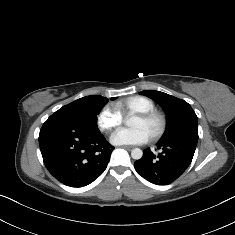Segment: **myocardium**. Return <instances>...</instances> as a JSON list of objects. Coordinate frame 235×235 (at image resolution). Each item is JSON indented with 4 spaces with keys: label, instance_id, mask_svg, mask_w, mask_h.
Returning a JSON list of instances; mask_svg holds the SVG:
<instances>
[{
    "label": "myocardium",
    "instance_id": "f54148a6",
    "mask_svg": "<svg viewBox=\"0 0 235 235\" xmlns=\"http://www.w3.org/2000/svg\"><path fill=\"white\" fill-rule=\"evenodd\" d=\"M137 117L148 124L154 121L158 122V128L150 134L151 140L159 139L166 132L168 121L166 115L161 111L154 109L146 113H138Z\"/></svg>",
    "mask_w": 235,
    "mask_h": 235
}]
</instances>
